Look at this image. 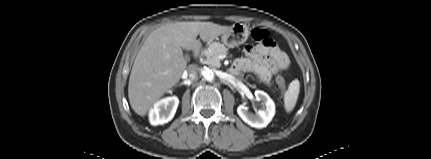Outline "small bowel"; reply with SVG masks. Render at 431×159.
Segmentation results:
<instances>
[{
    "label": "small bowel",
    "instance_id": "1",
    "mask_svg": "<svg viewBox=\"0 0 431 159\" xmlns=\"http://www.w3.org/2000/svg\"><path fill=\"white\" fill-rule=\"evenodd\" d=\"M245 57L236 61L233 71L255 73L264 83L269 84L273 75L289 66L285 52L271 39L269 44L247 45Z\"/></svg>",
    "mask_w": 431,
    "mask_h": 159
}]
</instances>
